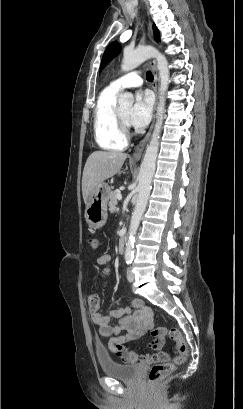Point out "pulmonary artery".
I'll return each mask as SVG.
<instances>
[{
	"label": "pulmonary artery",
	"instance_id": "pulmonary-artery-1",
	"mask_svg": "<svg viewBox=\"0 0 243 409\" xmlns=\"http://www.w3.org/2000/svg\"><path fill=\"white\" fill-rule=\"evenodd\" d=\"M143 80L138 71H131L110 82L109 87L116 91H121L125 88L139 87Z\"/></svg>",
	"mask_w": 243,
	"mask_h": 409
}]
</instances>
